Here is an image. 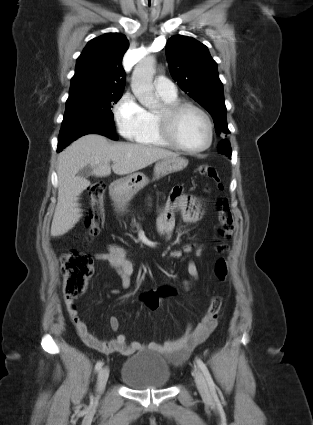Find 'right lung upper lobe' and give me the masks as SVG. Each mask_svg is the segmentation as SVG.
I'll use <instances>...</instances> for the list:
<instances>
[{"mask_svg": "<svg viewBox=\"0 0 313 425\" xmlns=\"http://www.w3.org/2000/svg\"><path fill=\"white\" fill-rule=\"evenodd\" d=\"M129 47L126 36L106 33L88 42L76 62L69 95L123 92L122 58Z\"/></svg>", "mask_w": 313, "mask_h": 425, "instance_id": "cb5924a9", "label": "right lung upper lobe"}]
</instances>
